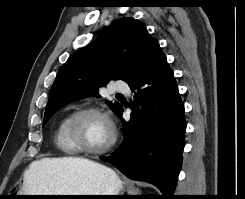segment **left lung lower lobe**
Here are the masks:
<instances>
[{
	"instance_id": "left-lung-lower-lobe-1",
	"label": "left lung lower lobe",
	"mask_w": 245,
	"mask_h": 199,
	"mask_svg": "<svg viewBox=\"0 0 245 199\" xmlns=\"http://www.w3.org/2000/svg\"><path fill=\"white\" fill-rule=\"evenodd\" d=\"M129 87L135 94L130 121L122 119L123 142L101 160L130 179L154 184L163 199H170L181 170L186 123L174 74L162 50Z\"/></svg>"
}]
</instances>
